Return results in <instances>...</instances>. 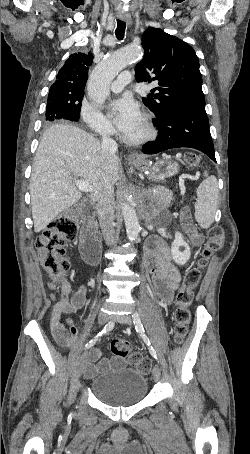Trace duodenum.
<instances>
[{"instance_id":"duodenum-1","label":"duodenum","mask_w":250,"mask_h":454,"mask_svg":"<svg viewBox=\"0 0 250 454\" xmlns=\"http://www.w3.org/2000/svg\"><path fill=\"white\" fill-rule=\"evenodd\" d=\"M81 254L84 261L90 265L99 263L100 237L94 225V208L85 206L82 211Z\"/></svg>"}]
</instances>
